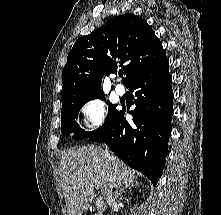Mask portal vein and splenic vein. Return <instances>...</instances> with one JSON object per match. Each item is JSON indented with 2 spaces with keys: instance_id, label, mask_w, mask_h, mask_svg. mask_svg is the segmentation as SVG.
Returning a JSON list of instances; mask_svg holds the SVG:
<instances>
[{
  "instance_id": "portal-vein-and-splenic-vein-1",
  "label": "portal vein and splenic vein",
  "mask_w": 221,
  "mask_h": 215,
  "mask_svg": "<svg viewBox=\"0 0 221 215\" xmlns=\"http://www.w3.org/2000/svg\"><path fill=\"white\" fill-rule=\"evenodd\" d=\"M104 200L102 197H99L96 199V207H100L101 205H103Z\"/></svg>"
}]
</instances>
